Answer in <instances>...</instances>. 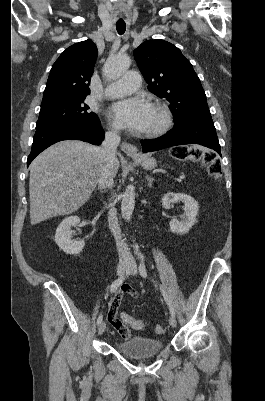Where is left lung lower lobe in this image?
Wrapping results in <instances>:
<instances>
[{"label":"left lung lower lobe","mask_w":265,"mask_h":401,"mask_svg":"<svg viewBox=\"0 0 265 401\" xmlns=\"http://www.w3.org/2000/svg\"><path fill=\"white\" fill-rule=\"evenodd\" d=\"M200 144L220 153V145L211 115H194L175 123L167 134L150 140H141L143 152H152L167 147Z\"/></svg>","instance_id":"obj_1"}]
</instances>
